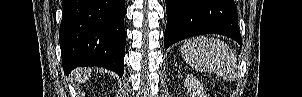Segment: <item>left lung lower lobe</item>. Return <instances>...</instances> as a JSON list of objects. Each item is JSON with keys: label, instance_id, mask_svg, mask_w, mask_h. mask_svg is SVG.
<instances>
[{"label": "left lung lower lobe", "instance_id": "left-lung-lower-lobe-1", "mask_svg": "<svg viewBox=\"0 0 302 97\" xmlns=\"http://www.w3.org/2000/svg\"><path fill=\"white\" fill-rule=\"evenodd\" d=\"M164 46L197 35L221 34L242 45L233 0H165Z\"/></svg>", "mask_w": 302, "mask_h": 97}]
</instances>
